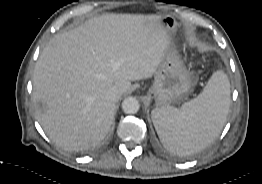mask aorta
<instances>
[{"instance_id":"1","label":"aorta","mask_w":262,"mask_h":184,"mask_svg":"<svg viewBox=\"0 0 262 184\" xmlns=\"http://www.w3.org/2000/svg\"><path fill=\"white\" fill-rule=\"evenodd\" d=\"M140 108L139 101L135 97H127L122 102V109L126 114H135Z\"/></svg>"}]
</instances>
